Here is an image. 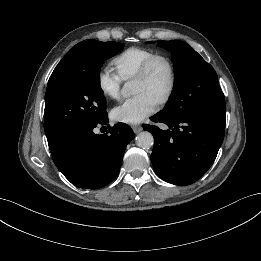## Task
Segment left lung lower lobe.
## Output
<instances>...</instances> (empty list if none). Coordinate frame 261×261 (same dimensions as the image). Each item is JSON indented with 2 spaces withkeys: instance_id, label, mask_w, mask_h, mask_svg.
I'll list each match as a JSON object with an SVG mask.
<instances>
[{
  "instance_id": "0a47b994",
  "label": "left lung lower lobe",
  "mask_w": 261,
  "mask_h": 261,
  "mask_svg": "<svg viewBox=\"0 0 261 261\" xmlns=\"http://www.w3.org/2000/svg\"><path fill=\"white\" fill-rule=\"evenodd\" d=\"M226 108L209 109L173 118L161 113L152 117L169 126L143 128L154 137L151 161L156 174L175 185H189L202 177L213 164L225 133Z\"/></svg>"
}]
</instances>
